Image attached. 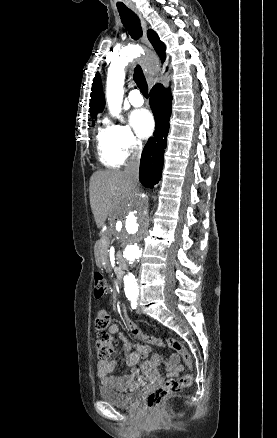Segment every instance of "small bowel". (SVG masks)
Here are the masks:
<instances>
[{"mask_svg":"<svg viewBox=\"0 0 277 438\" xmlns=\"http://www.w3.org/2000/svg\"><path fill=\"white\" fill-rule=\"evenodd\" d=\"M129 322L126 331L129 334H136L139 332V327ZM108 331L111 334L119 335L120 339L124 343V352L126 357V364L130 369L128 375L113 376L111 375L117 366L115 360L99 361L97 364V377L100 382L112 388H116L119 391H128L135 386L136 379L139 377V373L136 369L139 361L144 359L150 354V347L145 345H133L130 340L120 331L118 324L113 323L108 327ZM138 340L144 341L147 338L146 333L140 332L137 335ZM157 362H163L166 377L170 378L178 375L183 371V366L179 363V358L176 355H171L163 359L161 356L156 355L149 361H144L140 365V369L143 374L148 375L153 370Z\"/></svg>","mask_w":277,"mask_h":438,"instance_id":"small-bowel-1","label":"small bowel"}]
</instances>
